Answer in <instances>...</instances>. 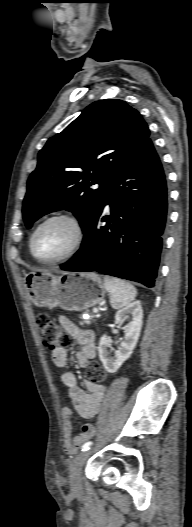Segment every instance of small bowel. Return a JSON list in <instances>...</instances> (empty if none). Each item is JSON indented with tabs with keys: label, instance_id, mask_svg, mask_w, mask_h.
Segmentation results:
<instances>
[{
	"label": "small bowel",
	"instance_id": "obj_1",
	"mask_svg": "<svg viewBox=\"0 0 192 527\" xmlns=\"http://www.w3.org/2000/svg\"><path fill=\"white\" fill-rule=\"evenodd\" d=\"M59 322L63 329L81 346L75 355V359L78 366L85 367L96 355L94 332L79 327L66 316H60ZM67 360V351L63 347L52 350V361L57 367H65ZM61 381L68 388V397L72 404V409L68 407L62 409L63 447L67 453H74L93 434L94 427L91 424H85L82 433L72 437L73 413H77L84 419L93 418L101 407L106 386L84 380L85 389H83L79 386L76 375L69 371L61 374Z\"/></svg>",
	"mask_w": 192,
	"mask_h": 527
}]
</instances>
